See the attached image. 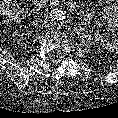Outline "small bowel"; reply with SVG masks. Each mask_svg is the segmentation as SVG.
<instances>
[{"label": "small bowel", "instance_id": "obj_1", "mask_svg": "<svg viewBox=\"0 0 118 118\" xmlns=\"http://www.w3.org/2000/svg\"><path fill=\"white\" fill-rule=\"evenodd\" d=\"M102 16L108 29L112 30L118 27V1L107 0L102 9Z\"/></svg>", "mask_w": 118, "mask_h": 118}]
</instances>
